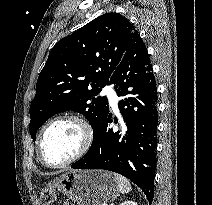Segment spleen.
<instances>
[{"instance_id":"spleen-1","label":"spleen","mask_w":212,"mask_h":205,"mask_svg":"<svg viewBox=\"0 0 212 205\" xmlns=\"http://www.w3.org/2000/svg\"><path fill=\"white\" fill-rule=\"evenodd\" d=\"M114 177L116 179L119 191L122 194H127L131 191V184L125 177L120 174H114Z\"/></svg>"}]
</instances>
